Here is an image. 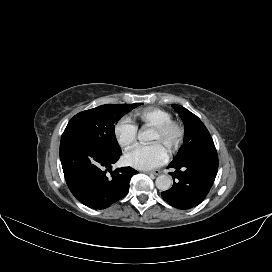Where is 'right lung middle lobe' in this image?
<instances>
[{
    "instance_id": "1",
    "label": "right lung middle lobe",
    "mask_w": 272,
    "mask_h": 272,
    "mask_svg": "<svg viewBox=\"0 0 272 272\" xmlns=\"http://www.w3.org/2000/svg\"><path fill=\"white\" fill-rule=\"evenodd\" d=\"M139 105L141 103L106 104L80 112L69 121L61 140H87L108 152H120L115 137V124L124 114Z\"/></svg>"
}]
</instances>
